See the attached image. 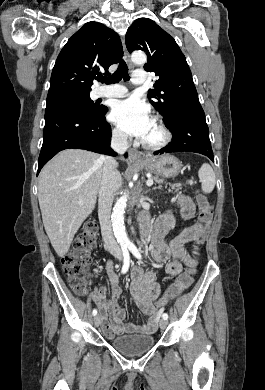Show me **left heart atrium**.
<instances>
[{
    "label": "left heart atrium",
    "instance_id": "1",
    "mask_svg": "<svg viewBox=\"0 0 265 390\" xmlns=\"http://www.w3.org/2000/svg\"><path fill=\"white\" fill-rule=\"evenodd\" d=\"M111 119L125 134L141 140L146 138L154 123L147 104L135 97L116 102Z\"/></svg>",
    "mask_w": 265,
    "mask_h": 390
}]
</instances>
